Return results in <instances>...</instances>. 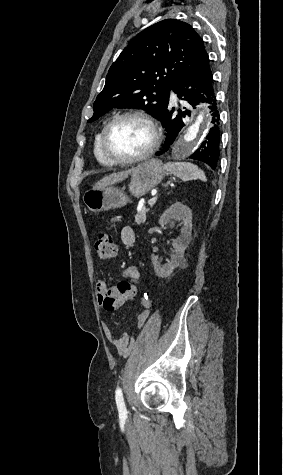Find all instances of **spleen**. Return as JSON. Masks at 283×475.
I'll use <instances>...</instances> for the list:
<instances>
[{
  "instance_id": "1",
  "label": "spleen",
  "mask_w": 283,
  "mask_h": 475,
  "mask_svg": "<svg viewBox=\"0 0 283 475\" xmlns=\"http://www.w3.org/2000/svg\"><path fill=\"white\" fill-rule=\"evenodd\" d=\"M165 170L169 174H174L177 178H180L182 182H189V180H202V182H207V178L195 164H190V162H167L165 164Z\"/></svg>"
}]
</instances>
